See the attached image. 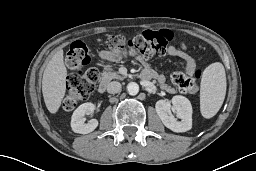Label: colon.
<instances>
[{
  "mask_svg": "<svg viewBox=\"0 0 256 171\" xmlns=\"http://www.w3.org/2000/svg\"><path fill=\"white\" fill-rule=\"evenodd\" d=\"M172 39L167 29L144 30L133 36L111 35L107 38V47L113 53L128 50L133 55L145 59L163 56ZM91 59L89 46L83 41L71 44L66 55V65L71 71L68 78L67 93L63 100L65 110H73L80 102L85 101L93 92L98 80L95 69H85ZM200 70L193 75L177 71L171 75L172 83L183 93H195L199 87Z\"/></svg>",
  "mask_w": 256,
  "mask_h": 171,
  "instance_id": "colon-1",
  "label": "colon"
}]
</instances>
